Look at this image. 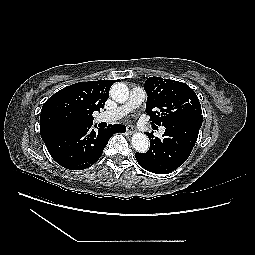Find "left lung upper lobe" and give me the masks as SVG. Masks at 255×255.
<instances>
[{
  "mask_svg": "<svg viewBox=\"0 0 255 255\" xmlns=\"http://www.w3.org/2000/svg\"><path fill=\"white\" fill-rule=\"evenodd\" d=\"M144 89L148 95L146 113L152 123L166 126L203 118L198 97L185 83L149 77Z\"/></svg>",
  "mask_w": 255,
  "mask_h": 255,
  "instance_id": "obj_1",
  "label": "left lung upper lobe"
}]
</instances>
